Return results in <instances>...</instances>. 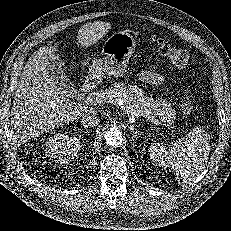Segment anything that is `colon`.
<instances>
[{"instance_id": "obj_1", "label": "colon", "mask_w": 231, "mask_h": 231, "mask_svg": "<svg viewBox=\"0 0 231 231\" xmlns=\"http://www.w3.org/2000/svg\"><path fill=\"white\" fill-rule=\"evenodd\" d=\"M153 49L161 56L169 60L177 67H185L190 60V55L187 50L174 47L163 40H156L153 42ZM182 109L190 113L194 109L192 97L187 94L182 101Z\"/></svg>"}]
</instances>
